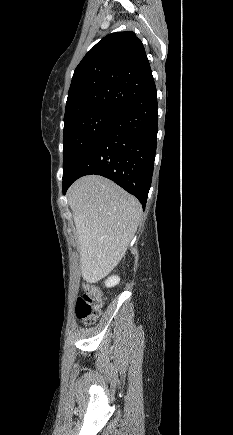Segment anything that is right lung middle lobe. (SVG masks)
I'll list each match as a JSON object with an SVG mask.
<instances>
[{"label": "right lung middle lobe", "instance_id": "right-lung-middle-lobe-1", "mask_svg": "<svg viewBox=\"0 0 233 435\" xmlns=\"http://www.w3.org/2000/svg\"><path fill=\"white\" fill-rule=\"evenodd\" d=\"M120 113L121 110L103 107L64 120L63 178Z\"/></svg>", "mask_w": 233, "mask_h": 435}]
</instances>
